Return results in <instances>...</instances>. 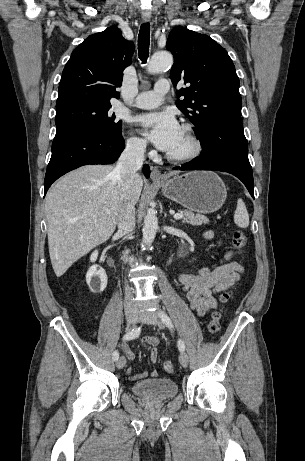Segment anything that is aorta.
Returning <instances> with one entry per match:
<instances>
[{
    "label": "aorta",
    "instance_id": "obj_1",
    "mask_svg": "<svg viewBox=\"0 0 305 461\" xmlns=\"http://www.w3.org/2000/svg\"><path fill=\"white\" fill-rule=\"evenodd\" d=\"M173 64V57L168 52L155 53L148 64V72L155 74L162 70L170 68ZM158 230V218L156 212L153 209H148L147 214L144 218L143 242L150 244L154 241L156 232Z\"/></svg>",
    "mask_w": 305,
    "mask_h": 461
}]
</instances>
